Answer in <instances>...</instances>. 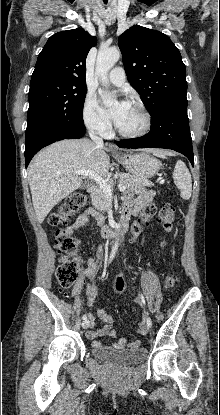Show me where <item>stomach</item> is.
<instances>
[{
	"instance_id": "0dacf381",
	"label": "stomach",
	"mask_w": 220,
	"mask_h": 415,
	"mask_svg": "<svg viewBox=\"0 0 220 415\" xmlns=\"http://www.w3.org/2000/svg\"><path fill=\"white\" fill-rule=\"evenodd\" d=\"M116 160L125 167V169L139 178L147 179L154 176L161 167V163L148 153H130L117 156Z\"/></svg>"
}]
</instances>
